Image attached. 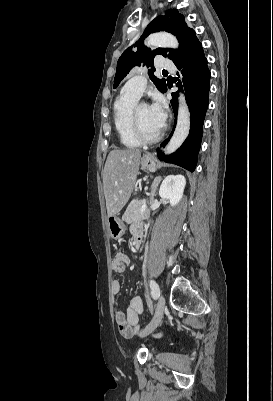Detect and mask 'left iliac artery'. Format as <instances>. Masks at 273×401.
I'll list each match as a JSON object with an SVG mask.
<instances>
[{"instance_id":"obj_1","label":"left iliac artery","mask_w":273,"mask_h":401,"mask_svg":"<svg viewBox=\"0 0 273 401\" xmlns=\"http://www.w3.org/2000/svg\"><path fill=\"white\" fill-rule=\"evenodd\" d=\"M149 283L152 291V297L153 299L157 300L160 296L158 284L154 280H150Z\"/></svg>"}]
</instances>
